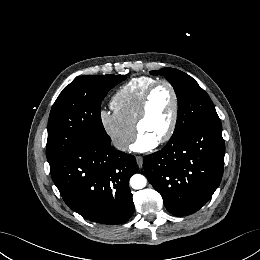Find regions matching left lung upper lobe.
<instances>
[{
  "instance_id": "5c2ea615",
  "label": "left lung upper lobe",
  "mask_w": 260,
  "mask_h": 260,
  "mask_svg": "<svg viewBox=\"0 0 260 260\" xmlns=\"http://www.w3.org/2000/svg\"><path fill=\"white\" fill-rule=\"evenodd\" d=\"M150 73L163 75L174 87L178 99L177 122L169 141L182 136L193 126L220 120L210 97L191 76L172 68H163Z\"/></svg>"
}]
</instances>
